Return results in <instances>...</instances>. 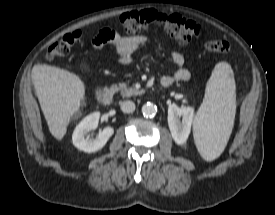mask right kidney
Listing matches in <instances>:
<instances>
[{
	"instance_id": "ca27d5eb",
	"label": "right kidney",
	"mask_w": 275,
	"mask_h": 215,
	"mask_svg": "<svg viewBox=\"0 0 275 215\" xmlns=\"http://www.w3.org/2000/svg\"><path fill=\"white\" fill-rule=\"evenodd\" d=\"M99 118V112L91 113L76 126L72 135V142L76 148L87 153H92L105 146L114 133L113 128H105L103 131L99 132L96 138L85 136L89 131L97 128Z\"/></svg>"
}]
</instances>
